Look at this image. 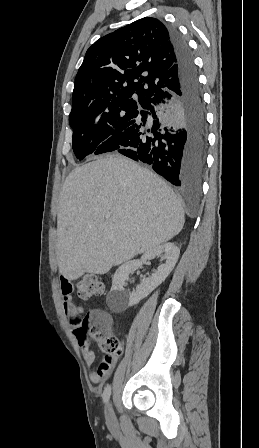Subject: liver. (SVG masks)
Instances as JSON below:
<instances>
[{"instance_id":"1","label":"liver","mask_w":259,"mask_h":448,"mask_svg":"<svg viewBox=\"0 0 259 448\" xmlns=\"http://www.w3.org/2000/svg\"><path fill=\"white\" fill-rule=\"evenodd\" d=\"M184 222L176 194L156 174L125 156L96 158L72 170L62 188L59 272L66 280L107 274L177 236Z\"/></svg>"}]
</instances>
